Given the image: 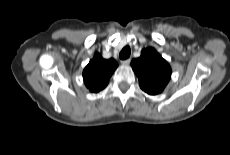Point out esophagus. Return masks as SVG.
<instances>
[{
  "instance_id": "esophagus-1",
  "label": "esophagus",
  "mask_w": 230,
  "mask_h": 155,
  "mask_svg": "<svg viewBox=\"0 0 230 155\" xmlns=\"http://www.w3.org/2000/svg\"><path fill=\"white\" fill-rule=\"evenodd\" d=\"M130 61H131L130 59H126V60L121 61V64L127 66L130 64Z\"/></svg>"
}]
</instances>
